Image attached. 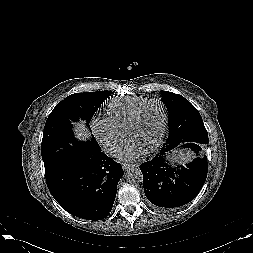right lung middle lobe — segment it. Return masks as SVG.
<instances>
[{
    "instance_id": "right-lung-middle-lobe-1",
    "label": "right lung middle lobe",
    "mask_w": 253,
    "mask_h": 253,
    "mask_svg": "<svg viewBox=\"0 0 253 253\" xmlns=\"http://www.w3.org/2000/svg\"><path fill=\"white\" fill-rule=\"evenodd\" d=\"M112 93H75L56 105L47 118L43 132L41 154L45 169L77 161L100 148L93 135L86 142L76 139L72 128L79 119L89 126L94 113Z\"/></svg>"
}]
</instances>
